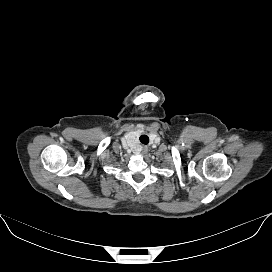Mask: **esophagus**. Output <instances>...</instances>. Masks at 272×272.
Here are the masks:
<instances>
[{
	"label": "esophagus",
	"instance_id": "obj_1",
	"mask_svg": "<svg viewBox=\"0 0 272 272\" xmlns=\"http://www.w3.org/2000/svg\"><path fill=\"white\" fill-rule=\"evenodd\" d=\"M142 150H143V152H146V151H147V148H146V147H143Z\"/></svg>",
	"mask_w": 272,
	"mask_h": 272
}]
</instances>
